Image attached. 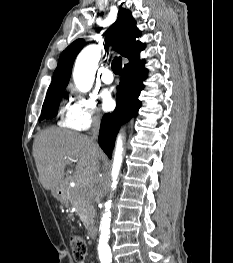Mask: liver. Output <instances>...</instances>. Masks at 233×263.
I'll list each match as a JSON object with an SVG mask.
<instances>
[{"label": "liver", "instance_id": "6515ba94", "mask_svg": "<svg viewBox=\"0 0 233 263\" xmlns=\"http://www.w3.org/2000/svg\"><path fill=\"white\" fill-rule=\"evenodd\" d=\"M33 156L41 184L46 190H52L56 182L63 178L69 161L78 159L77 180L81 181L96 171L102 153L86 135L61 128H49L36 136Z\"/></svg>", "mask_w": 233, "mask_h": 263}]
</instances>
